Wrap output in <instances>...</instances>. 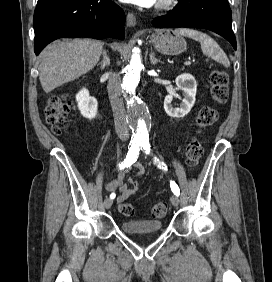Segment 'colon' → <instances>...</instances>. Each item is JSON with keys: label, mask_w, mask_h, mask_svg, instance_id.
Instances as JSON below:
<instances>
[{"label": "colon", "mask_w": 272, "mask_h": 282, "mask_svg": "<svg viewBox=\"0 0 272 282\" xmlns=\"http://www.w3.org/2000/svg\"><path fill=\"white\" fill-rule=\"evenodd\" d=\"M211 92L218 104H224L228 97V75L223 70H215L211 75ZM73 108V104L66 96H55L50 100L47 109V118L52 125L53 133L59 134L66 129V116ZM217 112L210 107H203L199 110L196 123L198 127H207L217 120ZM203 148L198 139H192L186 146L185 159L189 168H195L202 157ZM134 181L133 178L129 182ZM120 212L125 216L134 214L132 204L123 202L119 205ZM167 213V204L158 202L153 206L152 215L154 218H163Z\"/></svg>", "instance_id": "1"}]
</instances>
